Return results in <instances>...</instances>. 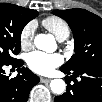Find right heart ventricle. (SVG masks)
<instances>
[{
	"mask_svg": "<svg viewBox=\"0 0 102 102\" xmlns=\"http://www.w3.org/2000/svg\"><path fill=\"white\" fill-rule=\"evenodd\" d=\"M43 26L50 31L57 40H66L71 33L69 24L57 16H49L42 21Z\"/></svg>",
	"mask_w": 102,
	"mask_h": 102,
	"instance_id": "1",
	"label": "right heart ventricle"
}]
</instances>
